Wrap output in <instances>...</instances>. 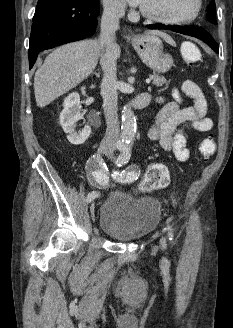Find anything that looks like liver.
Segmentation results:
<instances>
[{"mask_svg":"<svg viewBox=\"0 0 233 328\" xmlns=\"http://www.w3.org/2000/svg\"><path fill=\"white\" fill-rule=\"evenodd\" d=\"M148 34L159 35L172 42L168 35L160 31H149ZM101 52L99 40H84L63 45L50 53L34 76L37 105L47 106L86 79L95 69ZM113 52L116 57L121 54L116 43Z\"/></svg>","mask_w":233,"mask_h":328,"instance_id":"1","label":"liver"}]
</instances>
